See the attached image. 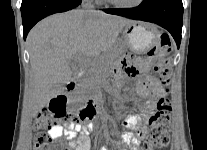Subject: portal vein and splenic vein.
<instances>
[{"label": "portal vein and splenic vein", "mask_w": 207, "mask_h": 150, "mask_svg": "<svg viewBox=\"0 0 207 150\" xmlns=\"http://www.w3.org/2000/svg\"><path fill=\"white\" fill-rule=\"evenodd\" d=\"M74 61L80 63L82 66H90L92 63L91 60H83L81 57H76Z\"/></svg>", "instance_id": "portal-vein-and-splenic-vein-1"}]
</instances>
